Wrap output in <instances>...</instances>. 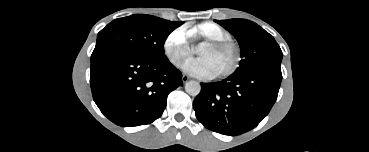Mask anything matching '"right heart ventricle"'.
Segmentation results:
<instances>
[{"mask_svg":"<svg viewBox=\"0 0 369 152\" xmlns=\"http://www.w3.org/2000/svg\"><path fill=\"white\" fill-rule=\"evenodd\" d=\"M195 47H200L211 40L229 39V33L220 25L205 21L184 28Z\"/></svg>","mask_w":369,"mask_h":152,"instance_id":"obj_1","label":"right heart ventricle"}]
</instances>
